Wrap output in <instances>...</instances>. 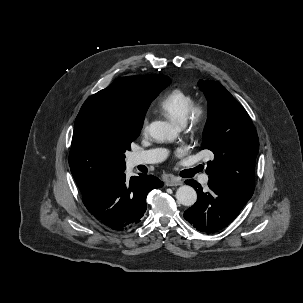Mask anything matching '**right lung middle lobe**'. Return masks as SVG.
I'll return each instance as SVG.
<instances>
[{
	"mask_svg": "<svg viewBox=\"0 0 303 303\" xmlns=\"http://www.w3.org/2000/svg\"><path fill=\"white\" fill-rule=\"evenodd\" d=\"M168 85L159 87L156 96ZM90 141L105 150L125 169V151L139 136L141 128L131 127L128 118L115 108H93L85 113ZM71 173L81 188L90 178V173L81 168H72Z\"/></svg>",
	"mask_w": 303,
	"mask_h": 303,
	"instance_id": "right-lung-middle-lobe-1",
	"label": "right lung middle lobe"
}]
</instances>
